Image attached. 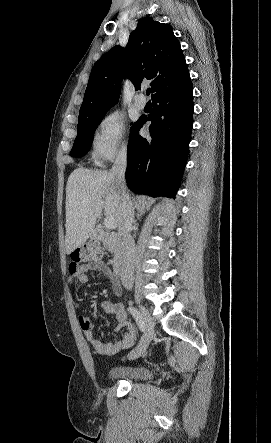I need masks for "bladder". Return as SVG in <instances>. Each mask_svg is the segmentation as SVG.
Returning <instances> with one entry per match:
<instances>
[{"instance_id": "obj_1", "label": "bladder", "mask_w": 271, "mask_h": 443, "mask_svg": "<svg viewBox=\"0 0 271 443\" xmlns=\"http://www.w3.org/2000/svg\"><path fill=\"white\" fill-rule=\"evenodd\" d=\"M153 377L152 371L145 366H121L107 372L109 380H148Z\"/></svg>"}]
</instances>
